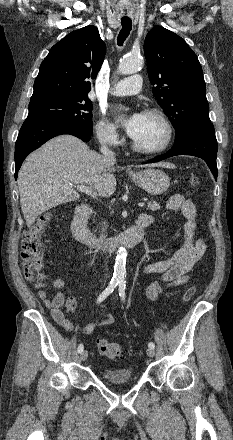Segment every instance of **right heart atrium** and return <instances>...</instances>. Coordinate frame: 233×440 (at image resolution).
<instances>
[{"label":"right heart atrium","instance_id":"1","mask_svg":"<svg viewBox=\"0 0 233 440\" xmlns=\"http://www.w3.org/2000/svg\"><path fill=\"white\" fill-rule=\"evenodd\" d=\"M95 132L98 141L104 146L116 148L121 143L117 128L104 117L97 120Z\"/></svg>","mask_w":233,"mask_h":440}]
</instances>
